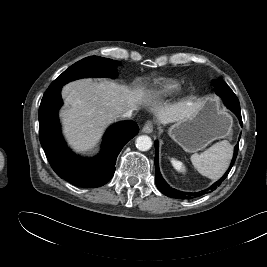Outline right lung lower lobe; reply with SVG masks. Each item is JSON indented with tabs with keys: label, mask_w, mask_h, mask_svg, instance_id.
<instances>
[{
	"label": "right lung lower lobe",
	"mask_w": 267,
	"mask_h": 267,
	"mask_svg": "<svg viewBox=\"0 0 267 267\" xmlns=\"http://www.w3.org/2000/svg\"><path fill=\"white\" fill-rule=\"evenodd\" d=\"M61 88L44 95L39 108L40 143L56 174L80 187H99L114 175L116 159L124 145L138 134L134 121H121L105 133L102 151L93 158H82L71 152L60 133L58 110L62 105Z\"/></svg>",
	"instance_id": "1"
}]
</instances>
